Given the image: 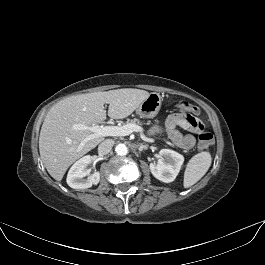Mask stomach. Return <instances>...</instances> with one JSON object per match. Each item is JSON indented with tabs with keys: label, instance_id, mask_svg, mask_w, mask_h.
<instances>
[{
	"label": "stomach",
	"instance_id": "obj_1",
	"mask_svg": "<svg viewBox=\"0 0 265 265\" xmlns=\"http://www.w3.org/2000/svg\"><path fill=\"white\" fill-rule=\"evenodd\" d=\"M161 103L162 97L159 93H150L149 96L137 108L136 113L141 118H154L161 108Z\"/></svg>",
	"mask_w": 265,
	"mask_h": 265
}]
</instances>
